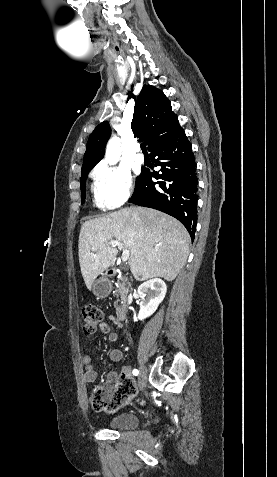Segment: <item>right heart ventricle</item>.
I'll use <instances>...</instances> for the list:
<instances>
[{"label":"right heart ventricle","mask_w":277,"mask_h":477,"mask_svg":"<svg viewBox=\"0 0 277 477\" xmlns=\"http://www.w3.org/2000/svg\"><path fill=\"white\" fill-rule=\"evenodd\" d=\"M94 201H95V204L100 207V208H106V206L101 202L99 196H98V193H97V189L96 187L94 188Z\"/></svg>","instance_id":"1"}]
</instances>
